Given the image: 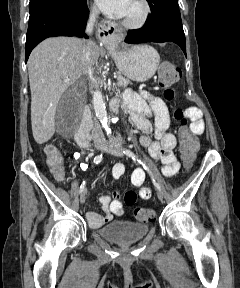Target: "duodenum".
Instances as JSON below:
<instances>
[{
  "label": "duodenum",
  "instance_id": "duodenum-1",
  "mask_svg": "<svg viewBox=\"0 0 240 288\" xmlns=\"http://www.w3.org/2000/svg\"><path fill=\"white\" fill-rule=\"evenodd\" d=\"M110 107L113 111L117 112L120 107V101L114 99L110 103ZM76 142L83 147L90 146L91 142V120L89 109H84L79 129L75 134Z\"/></svg>",
  "mask_w": 240,
  "mask_h": 288
}]
</instances>
